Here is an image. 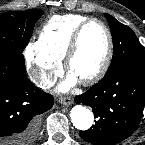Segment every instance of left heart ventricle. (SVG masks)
Here are the masks:
<instances>
[{
  "mask_svg": "<svg viewBox=\"0 0 145 145\" xmlns=\"http://www.w3.org/2000/svg\"><path fill=\"white\" fill-rule=\"evenodd\" d=\"M107 49V38L97 23L89 24L83 31L79 50L72 60L70 74L77 79L93 73L101 64Z\"/></svg>",
  "mask_w": 145,
  "mask_h": 145,
  "instance_id": "obj_1",
  "label": "left heart ventricle"
}]
</instances>
